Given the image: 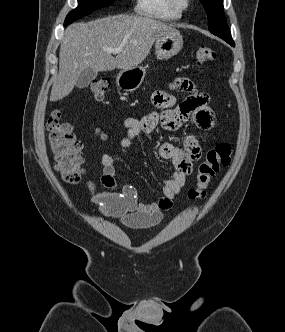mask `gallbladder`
Here are the masks:
<instances>
[{
	"label": "gallbladder",
	"instance_id": "obj_1",
	"mask_svg": "<svg viewBox=\"0 0 285 332\" xmlns=\"http://www.w3.org/2000/svg\"><path fill=\"white\" fill-rule=\"evenodd\" d=\"M97 72L93 69H85L81 74L79 75V78L76 82V87L79 89H83L89 86V84L96 79Z\"/></svg>",
	"mask_w": 285,
	"mask_h": 332
}]
</instances>
